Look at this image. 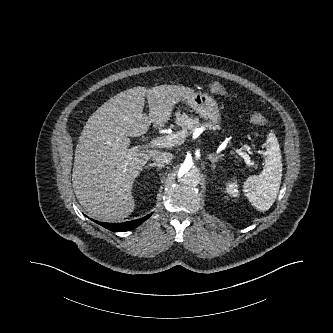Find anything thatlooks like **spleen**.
I'll list each match as a JSON object with an SVG mask.
<instances>
[{"mask_svg":"<svg viewBox=\"0 0 333 333\" xmlns=\"http://www.w3.org/2000/svg\"><path fill=\"white\" fill-rule=\"evenodd\" d=\"M264 169L257 176H249L244 182L243 192L258 211H267L279 192L282 178L280 146L276 136L268 135Z\"/></svg>","mask_w":333,"mask_h":333,"instance_id":"3e777b00","label":"spleen"}]
</instances>
